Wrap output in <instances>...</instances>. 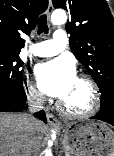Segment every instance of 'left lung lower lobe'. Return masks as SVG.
Returning <instances> with one entry per match:
<instances>
[{"label": "left lung lower lobe", "instance_id": "left-lung-lower-lobe-1", "mask_svg": "<svg viewBox=\"0 0 114 156\" xmlns=\"http://www.w3.org/2000/svg\"><path fill=\"white\" fill-rule=\"evenodd\" d=\"M92 119L102 120L114 126V105L101 107Z\"/></svg>", "mask_w": 114, "mask_h": 156}]
</instances>
